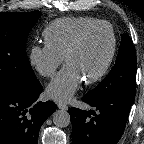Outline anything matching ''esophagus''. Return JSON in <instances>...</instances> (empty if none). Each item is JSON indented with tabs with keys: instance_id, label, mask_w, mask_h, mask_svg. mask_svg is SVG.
<instances>
[{
	"instance_id": "1",
	"label": "esophagus",
	"mask_w": 144,
	"mask_h": 144,
	"mask_svg": "<svg viewBox=\"0 0 144 144\" xmlns=\"http://www.w3.org/2000/svg\"><path fill=\"white\" fill-rule=\"evenodd\" d=\"M57 106L59 109H62V110L68 109V106L66 104H64L63 102H57Z\"/></svg>"
}]
</instances>
